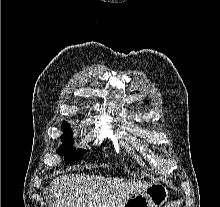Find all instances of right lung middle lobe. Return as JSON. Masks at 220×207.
Segmentation results:
<instances>
[{"label":"right lung middle lobe","mask_w":220,"mask_h":207,"mask_svg":"<svg viewBox=\"0 0 220 207\" xmlns=\"http://www.w3.org/2000/svg\"><path fill=\"white\" fill-rule=\"evenodd\" d=\"M63 131L64 134L61 136V141L63 143V145L61 146V148H59L57 150L58 154H61L63 156H65V163H71L75 160H78L80 158L83 157V154L86 152L85 150L79 149V150H75L72 147V132L69 130V127L64 125L63 126Z\"/></svg>","instance_id":"1"}]
</instances>
